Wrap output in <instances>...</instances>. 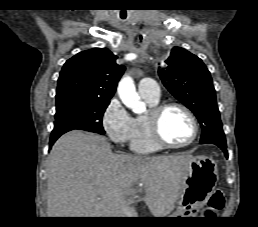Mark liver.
<instances>
[{"label":"liver","instance_id":"1","mask_svg":"<svg viewBox=\"0 0 258 227\" xmlns=\"http://www.w3.org/2000/svg\"><path fill=\"white\" fill-rule=\"evenodd\" d=\"M192 158L114 154L105 137L70 131L48 156L47 215L136 217L131 204L142 190L151 214L165 217L180 195L182 166Z\"/></svg>","mask_w":258,"mask_h":227}]
</instances>
